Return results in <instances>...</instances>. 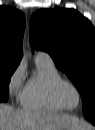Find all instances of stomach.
<instances>
[{
    "label": "stomach",
    "instance_id": "0dacf381",
    "mask_svg": "<svg viewBox=\"0 0 95 130\" xmlns=\"http://www.w3.org/2000/svg\"><path fill=\"white\" fill-rule=\"evenodd\" d=\"M64 130H83L81 125H69Z\"/></svg>",
    "mask_w": 95,
    "mask_h": 130
}]
</instances>
